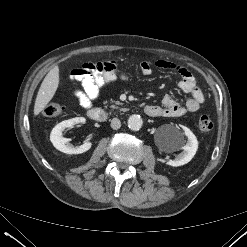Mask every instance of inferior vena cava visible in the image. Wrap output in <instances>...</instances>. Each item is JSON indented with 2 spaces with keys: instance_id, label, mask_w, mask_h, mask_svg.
Here are the masks:
<instances>
[{
  "instance_id": "602c4592",
  "label": "inferior vena cava",
  "mask_w": 247,
  "mask_h": 247,
  "mask_svg": "<svg viewBox=\"0 0 247 247\" xmlns=\"http://www.w3.org/2000/svg\"><path fill=\"white\" fill-rule=\"evenodd\" d=\"M111 127H112V129H114V130L119 129V128L121 127V122H120V120H119L118 118H113V119L111 120Z\"/></svg>"
}]
</instances>
